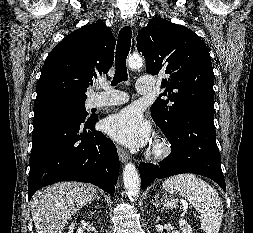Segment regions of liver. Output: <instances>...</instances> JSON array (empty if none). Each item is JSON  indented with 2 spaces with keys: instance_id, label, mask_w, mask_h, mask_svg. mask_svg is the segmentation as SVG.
<instances>
[{
  "instance_id": "obj_1",
  "label": "liver",
  "mask_w": 253,
  "mask_h": 233,
  "mask_svg": "<svg viewBox=\"0 0 253 233\" xmlns=\"http://www.w3.org/2000/svg\"><path fill=\"white\" fill-rule=\"evenodd\" d=\"M96 196L94 186L81 182H60L36 192L30 204L36 233H62L72 215Z\"/></svg>"
}]
</instances>
